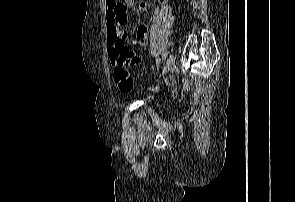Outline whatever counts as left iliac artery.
<instances>
[{
    "instance_id": "1",
    "label": "left iliac artery",
    "mask_w": 295,
    "mask_h": 202,
    "mask_svg": "<svg viewBox=\"0 0 295 202\" xmlns=\"http://www.w3.org/2000/svg\"><path fill=\"white\" fill-rule=\"evenodd\" d=\"M166 57H167V52L165 51V52H163V54H162V58H163V59H166Z\"/></svg>"
}]
</instances>
